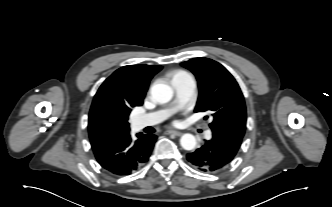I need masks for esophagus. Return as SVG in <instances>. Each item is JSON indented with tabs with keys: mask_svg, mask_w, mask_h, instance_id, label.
Returning a JSON list of instances; mask_svg holds the SVG:
<instances>
[{
	"mask_svg": "<svg viewBox=\"0 0 332 207\" xmlns=\"http://www.w3.org/2000/svg\"><path fill=\"white\" fill-rule=\"evenodd\" d=\"M165 133L166 134H173L175 136H181L182 135V132L176 131V130H167Z\"/></svg>",
	"mask_w": 332,
	"mask_h": 207,
	"instance_id": "esophagus-1",
	"label": "esophagus"
}]
</instances>
